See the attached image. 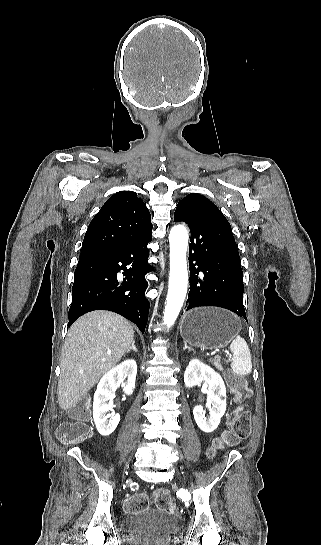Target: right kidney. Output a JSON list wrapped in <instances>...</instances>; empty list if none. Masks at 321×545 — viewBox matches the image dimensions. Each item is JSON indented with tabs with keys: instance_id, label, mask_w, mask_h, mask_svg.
I'll use <instances>...</instances> for the list:
<instances>
[{
	"instance_id": "right-kidney-1",
	"label": "right kidney",
	"mask_w": 321,
	"mask_h": 545,
	"mask_svg": "<svg viewBox=\"0 0 321 545\" xmlns=\"http://www.w3.org/2000/svg\"><path fill=\"white\" fill-rule=\"evenodd\" d=\"M137 375V365L134 359H128L123 361L111 371H108L104 377H102L100 383L97 385V391L94 395L93 403V419L96 425V429L102 437H108L113 431H115L119 421L120 415L114 413L113 397H110L112 393H115L116 389L124 387L123 391L126 395H132L135 389V379ZM124 383V379H126ZM110 399V401H109ZM109 401V403H108ZM108 411H112L107 415Z\"/></svg>"
}]
</instances>
